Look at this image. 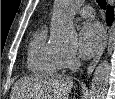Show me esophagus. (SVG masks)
Masks as SVG:
<instances>
[{"mask_svg": "<svg viewBox=\"0 0 115 99\" xmlns=\"http://www.w3.org/2000/svg\"><path fill=\"white\" fill-rule=\"evenodd\" d=\"M109 33H110V30L106 29L103 44H102L101 48L99 49V51H98L97 55L95 56V58L90 63V65H89V67L87 69V75H90L94 71V69H95L96 65L98 64L101 56L103 55V53H104V51L106 49L107 43H108Z\"/></svg>", "mask_w": 115, "mask_h": 99, "instance_id": "34e87169", "label": "esophagus"}]
</instances>
